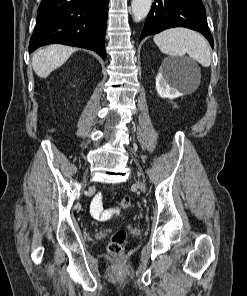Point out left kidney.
I'll return each mask as SVG.
<instances>
[{
  "mask_svg": "<svg viewBox=\"0 0 247 296\" xmlns=\"http://www.w3.org/2000/svg\"><path fill=\"white\" fill-rule=\"evenodd\" d=\"M190 81L192 76L183 61L165 59L156 76V90L162 98L175 99L184 95L179 88Z\"/></svg>",
  "mask_w": 247,
  "mask_h": 296,
  "instance_id": "left-kidney-1",
  "label": "left kidney"
}]
</instances>
